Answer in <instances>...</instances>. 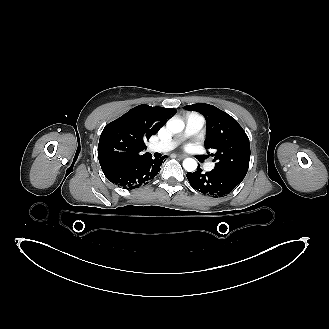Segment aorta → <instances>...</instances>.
Returning <instances> with one entry per match:
<instances>
[{
    "instance_id": "1",
    "label": "aorta",
    "mask_w": 329,
    "mask_h": 329,
    "mask_svg": "<svg viewBox=\"0 0 329 329\" xmlns=\"http://www.w3.org/2000/svg\"><path fill=\"white\" fill-rule=\"evenodd\" d=\"M184 122L180 119H170L167 122V129L172 133H179L184 129ZM183 168L188 172H194L197 169V162L193 158H186L183 161Z\"/></svg>"
}]
</instances>
